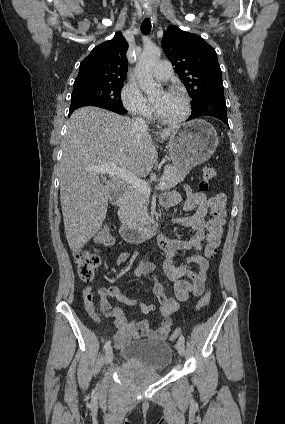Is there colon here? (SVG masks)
Returning <instances> with one entry per match:
<instances>
[{
	"instance_id": "5ec220e1",
	"label": "colon",
	"mask_w": 285,
	"mask_h": 424,
	"mask_svg": "<svg viewBox=\"0 0 285 424\" xmlns=\"http://www.w3.org/2000/svg\"><path fill=\"white\" fill-rule=\"evenodd\" d=\"M217 170L214 166L208 165L204 168L201 180L199 182V190L207 192L211 180L216 176ZM211 213L208 221L207 234V251L210 255L215 254L220 245L224 231L226 216H227V196L224 193L214 194L209 201ZM96 241L106 247H111L114 244V237L111 228L107 225L102 226L97 235ZM74 258L77 262L78 276L82 281H92L95 276V271L100 265V256L91 250H77L74 252ZM210 300L209 293H205L197 304V309L205 308ZM179 329H175L170 334V339L175 340L179 334Z\"/></svg>"
}]
</instances>
